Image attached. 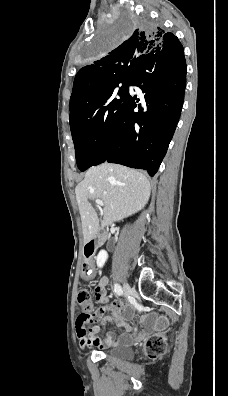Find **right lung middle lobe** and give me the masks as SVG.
Instances as JSON below:
<instances>
[{"mask_svg": "<svg viewBox=\"0 0 228 396\" xmlns=\"http://www.w3.org/2000/svg\"><path fill=\"white\" fill-rule=\"evenodd\" d=\"M143 21L132 15L109 31H105L92 45L89 57L106 54L130 31ZM122 86L117 89L118 85ZM130 85V80H120L101 93L81 114L70 120V129L75 146L77 166L85 171L91 166L104 162L107 155L109 138L116 118L121 111Z\"/></svg>", "mask_w": 228, "mask_h": 396, "instance_id": "dd1d6c3e", "label": "right lung middle lobe"}]
</instances>
